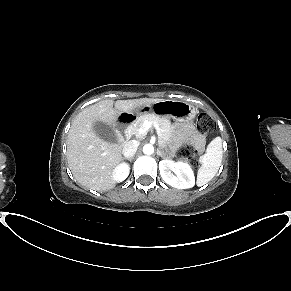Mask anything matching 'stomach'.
<instances>
[{"instance_id":"1","label":"stomach","mask_w":291,"mask_h":291,"mask_svg":"<svg viewBox=\"0 0 291 291\" xmlns=\"http://www.w3.org/2000/svg\"><path fill=\"white\" fill-rule=\"evenodd\" d=\"M196 113L195 108L184 101L160 100L150 105H144L130 114L136 116L155 114L160 117L173 118L180 122H191L195 118Z\"/></svg>"}]
</instances>
